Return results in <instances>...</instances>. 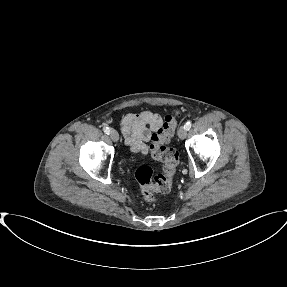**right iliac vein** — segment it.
<instances>
[{
	"instance_id": "right-iliac-vein-1",
	"label": "right iliac vein",
	"mask_w": 287,
	"mask_h": 287,
	"mask_svg": "<svg viewBox=\"0 0 287 287\" xmlns=\"http://www.w3.org/2000/svg\"><path fill=\"white\" fill-rule=\"evenodd\" d=\"M110 136H111V139L114 141V142H117L119 140V134L116 130H111L110 131Z\"/></svg>"
}]
</instances>
